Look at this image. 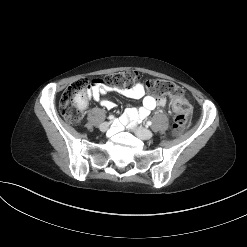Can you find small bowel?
Instances as JSON below:
<instances>
[{
  "instance_id": "1",
  "label": "small bowel",
  "mask_w": 247,
  "mask_h": 247,
  "mask_svg": "<svg viewBox=\"0 0 247 247\" xmlns=\"http://www.w3.org/2000/svg\"><path fill=\"white\" fill-rule=\"evenodd\" d=\"M112 88L100 83L97 79L92 80V84L89 90V96L93 100L100 102V104L106 109L114 108V103L105 100L103 96L111 91ZM116 92L124 97L130 99H142V105L140 107H128L123 115L120 117L122 124H128L137 122L145 119L149 116L151 111L157 107H164L166 105V99L163 97H154L152 95H147L145 92V87L142 83L136 82L133 85L125 88H118Z\"/></svg>"
}]
</instances>
